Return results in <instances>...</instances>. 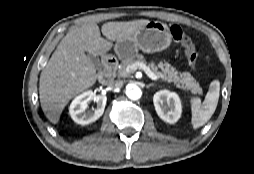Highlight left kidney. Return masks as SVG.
Listing matches in <instances>:
<instances>
[{"label":"left kidney","mask_w":254,"mask_h":174,"mask_svg":"<svg viewBox=\"0 0 254 174\" xmlns=\"http://www.w3.org/2000/svg\"><path fill=\"white\" fill-rule=\"evenodd\" d=\"M153 103L158 116L169 124L181 117L182 106L179 96L169 90H160L154 94Z\"/></svg>","instance_id":"obj_1"}]
</instances>
